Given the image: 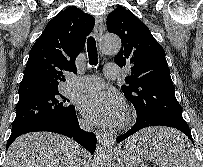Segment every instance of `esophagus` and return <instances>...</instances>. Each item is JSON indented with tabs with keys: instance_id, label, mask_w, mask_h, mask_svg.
<instances>
[{
	"instance_id": "esophagus-1",
	"label": "esophagus",
	"mask_w": 203,
	"mask_h": 167,
	"mask_svg": "<svg viewBox=\"0 0 203 167\" xmlns=\"http://www.w3.org/2000/svg\"><path fill=\"white\" fill-rule=\"evenodd\" d=\"M95 36L98 40L101 39L102 34H103V23H102V18L100 16H96L95 17ZM107 138H109L108 134H103V133H99L97 135V141L99 144L104 143Z\"/></svg>"
}]
</instances>
